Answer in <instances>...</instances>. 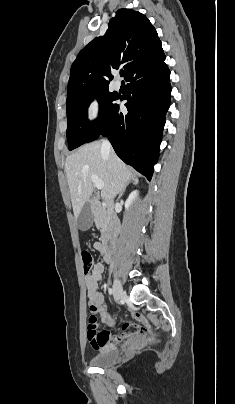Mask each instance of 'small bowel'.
Masks as SVG:
<instances>
[{
    "label": "small bowel",
    "mask_w": 235,
    "mask_h": 404,
    "mask_svg": "<svg viewBox=\"0 0 235 404\" xmlns=\"http://www.w3.org/2000/svg\"><path fill=\"white\" fill-rule=\"evenodd\" d=\"M94 249L100 254L101 258L105 260V250L103 244L96 241L93 244ZM106 261V260H105ZM104 273V266L101 263H97L90 274L85 277V285L87 287L88 298H89V309L92 314H99L103 321L112 325L111 320L106 308H105V298L104 295L98 290L99 282L102 279ZM126 311L133 314L138 320L142 321V317L135 313L131 307L126 306ZM129 324H125L122 327V333L116 336H112L109 331L98 332L96 329L95 333L88 330V339L91 346L96 350L110 349L114 348L118 343L129 338L130 334L128 332ZM144 328L139 326L137 328L138 333H143Z\"/></svg>",
    "instance_id": "small-bowel-1"
}]
</instances>
